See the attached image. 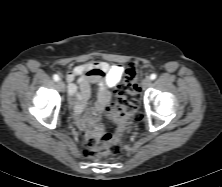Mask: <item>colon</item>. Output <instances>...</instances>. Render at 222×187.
Masks as SVG:
<instances>
[{"mask_svg": "<svg viewBox=\"0 0 222 187\" xmlns=\"http://www.w3.org/2000/svg\"><path fill=\"white\" fill-rule=\"evenodd\" d=\"M137 69L128 65L123 82L116 91L115 100L108 108V114L114 121H122L137 115L139 95L136 84ZM120 150L114 135L103 133L97 137L93 133H84L82 155L90 159H98L104 155L117 154Z\"/></svg>", "mask_w": 222, "mask_h": 187, "instance_id": "1", "label": "colon"}]
</instances>
